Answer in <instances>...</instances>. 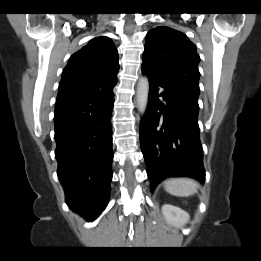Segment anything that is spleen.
<instances>
[{
	"label": "spleen",
	"instance_id": "3e777b00",
	"mask_svg": "<svg viewBox=\"0 0 261 261\" xmlns=\"http://www.w3.org/2000/svg\"><path fill=\"white\" fill-rule=\"evenodd\" d=\"M198 182L190 178H170L165 181V190L180 197H187L197 192Z\"/></svg>",
	"mask_w": 261,
	"mask_h": 261
}]
</instances>
